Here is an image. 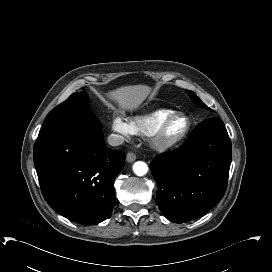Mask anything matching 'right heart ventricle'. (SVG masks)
Here are the masks:
<instances>
[{
  "label": "right heart ventricle",
  "mask_w": 272,
  "mask_h": 272,
  "mask_svg": "<svg viewBox=\"0 0 272 272\" xmlns=\"http://www.w3.org/2000/svg\"><path fill=\"white\" fill-rule=\"evenodd\" d=\"M174 112L171 110H159L151 115L135 117L131 120L132 126L145 136H151L153 132Z\"/></svg>",
  "instance_id": "e07e8e85"
}]
</instances>
